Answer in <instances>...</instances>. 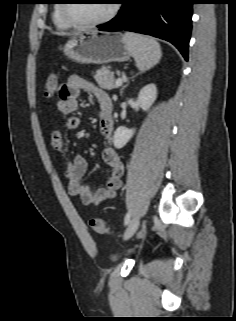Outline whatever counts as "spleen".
I'll list each match as a JSON object with an SVG mask.
<instances>
[{
	"label": "spleen",
	"instance_id": "obj_1",
	"mask_svg": "<svg viewBox=\"0 0 236 321\" xmlns=\"http://www.w3.org/2000/svg\"><path fill=\"white\" fill-rule=\"evenodd\" d=\"M124 41L131 50V54L139 70L146 71L156 65L162 56L159 43L145 36L126 32Z\"/></svg>",
	"mask_w": 236,
	"mask_h": 321
}]
</instances>
